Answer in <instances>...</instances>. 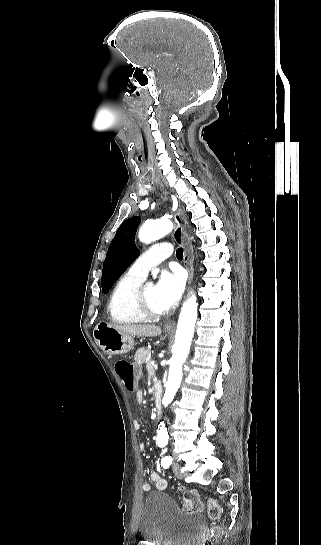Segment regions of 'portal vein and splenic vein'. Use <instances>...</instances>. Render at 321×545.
Here are the masks:
<instances>
[{
  "mask_svg": "<svg viewBox=\"0 0 321 545\" xmlns=\"http://www.w3.org/2000/svg\"><path fill=\"white\" fill-rule=\"evenodd\" d=\"M154 370H158L157 363H154Z\"/></svg>",
  "mask_w": 321,
  "mask_h": 545,
  "instance_id": "18ae733b",
  "label": "portal vein and splenic vein"
}]
</instances>
